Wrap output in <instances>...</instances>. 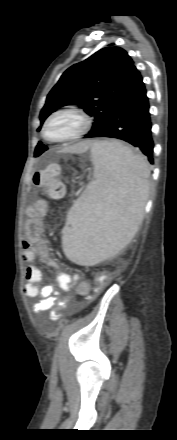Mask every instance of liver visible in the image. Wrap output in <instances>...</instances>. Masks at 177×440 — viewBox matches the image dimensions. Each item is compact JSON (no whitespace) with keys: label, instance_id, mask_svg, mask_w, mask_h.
<instances>
[{"label":"liver","instance_id":"obj_1","mask_svg":"<svg viewBox=\"0 0 177 440\" xmlns=\"http://www.w3.org/2000/svg\"><path fill=\"white\" fill-rule=\"evenodd\" d=\"M93 146V142L92 141H83L80 143H77L75 145H72L70 147H67L65 149H63V152L66 153H81L86 151L87 149H89V147Z\"/></svg>","mask_w":177,"mask_h":440}]
</instances>
